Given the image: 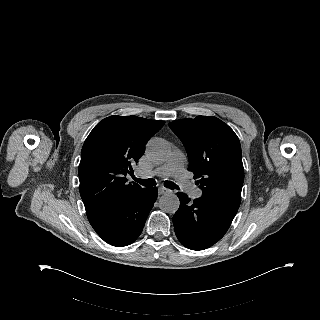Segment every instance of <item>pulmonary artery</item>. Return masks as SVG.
<instances>
[{
  "mask_svg": "<svg viewBox=\"0 0 320 320\" xmlns=\"http://www.w3.org/2000/svg\"><path fill=\"white\" fill-rule=\"evenodd\" d=\"M185 162L186 158L183 152L175 150L163 165L157 167L150 173H142L140 176L143 178L152 176L164 178L172 176L180 186L187 190L191 197L200 198L202 196V190L190 183L185 173Z\"/></svg>",
  "mask_w": 320,
  "mask_h": 320,
  "instance_id": "e3ab8cb5",
  "label": "pulmonary artery"
}]
</instances>
